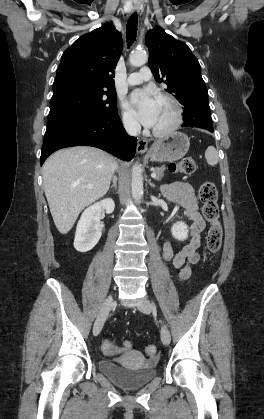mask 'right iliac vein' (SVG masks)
<instances>
[{
	"label": "right iliac vein",
	"instance_id": "63e3f726",
	"mask_svg": "<svg viewBox=\"0 0 264 419\" xmlns=\"http://www.w3.org/2000/svg\"><path fill=\"white\" fill-rule=\"evenodd\" d=\"M113 304H114V300H113L112 295H110L104 301V303L101 307V310H100V312H99V314L96 318V321L94 323L93 334L95 336H97L100 333V331L102 330V327H103V325H104V323H105V321H106V319L109 315V312H110L111 308L113 307Z\"/></svg>",
	"mask_w": 264,
	"mask_h": 419
}]
</instances>
